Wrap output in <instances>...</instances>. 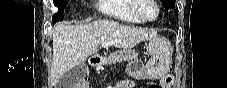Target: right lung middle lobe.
Segmentation results:
<instances>
[{
    "label": "right lung middle lobe",
    "mask_w": 227,
    "mask_h": 88,
    "mask_svg": "<svg viewBox=\"0 0 227 88\" xmlns=\"http://www.w3.org/2000/svg\"><path fill=\"white\" fill-rule=\"evenodd\" d=\"M68 0H54L55 5L59 8V11L53 15V23L63 20V9L66 6Z\"/></svg>",
    "instance_id": "1"
}]
</instances>
